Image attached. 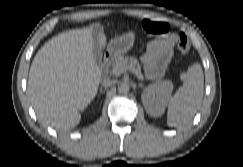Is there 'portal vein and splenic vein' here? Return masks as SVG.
<instances>
[{"label": "portal vein and splenic vein", "mask_w": 243, "mask_h": 167, "mask_svg": "<svg viewBox=\"0 0 243 167\" xmlns=\"http://www.w3.org/2000/svg\"><path fill=\"white\" fill-rule=\"evenodd\" d=\"M127 70L132 71L134 74H136V76L138 77V79L143 80V76L140 75L137 70L132 66V65H128V66H122L120 67V73L126 72Z\"/></svg>", "instance_id": "1"}]
</instances>
